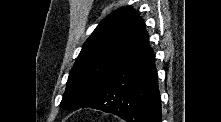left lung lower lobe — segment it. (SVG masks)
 <instances>
[{
	"label": "left lung lower lobe",
	"instance_id": "1",
	"mask_svg": "<svg viewBox=\"0 0 221 122\" xmlns=\"http://www.w3.org/2000/svg\"><path fill=\"white\" fill-rule=\"evenodd\" d=\"M82 107L113 113L127 122H161L155 56L141 17L120 59Z\"/></svg>",
	"mask_w": 221,
	"mask_h": 122
}]
</instances>
